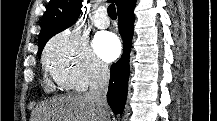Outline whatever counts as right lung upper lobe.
<instances>
[{
    "label": "right lung upper lobe",
    "instance_id": "obj_1",
    "mask_svg": "<svg viewBox=\"0 0 217 121\" xmlns=\"http://www.w3.org/2000/svg\"><path fill=\"white\" fill-rule=\"evenodd\" d=\"M117 7L123 0H112ZM82 0H50L41 20L39 51L57 33L72 26L81 14ZM38 51V52H39Z\"/></svg>",
    "mask_w": 217,
    "mask_h": 121
}]
</instances>
